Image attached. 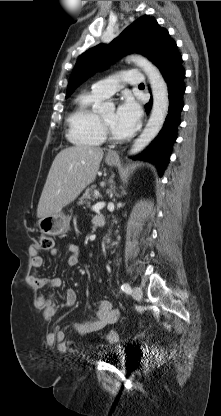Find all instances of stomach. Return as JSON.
<instances>
[{"instance_id": "obj_1", "label": "stomach", "mask_w": 221, "mask_h": 416, "mask_svg": "<svg viewBox=\"0 0 221 416\" xmlns=\"http://www.w3.org/2000/svg\"><path fill=\"white\" fill-rule=\"evenodd\" d=\"M105 162L109 166H115L119 160H110L106 158ZM70 225V217L63 212H59L47 217H43L38 221L40 231L46 235H61L68 231Z\"/></svg>"}]
</instances>
